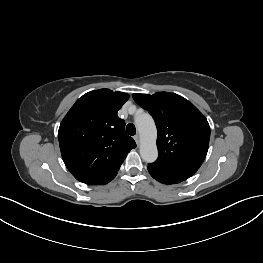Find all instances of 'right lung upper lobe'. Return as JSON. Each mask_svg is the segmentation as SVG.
<instances>
[{
  "label": "right lung upper lobe",
  "mask_w": 263,
  "mask_h": 263,
  "mask_svg": "<svg viewBox=\"0 0 263 263\" xmlns=\"http://www.w3.org/2000/svg\"><path fill=\"white\" fill-rule=\"evenodd\" d=\"M129 95L100 89L79 98L62 120L58 139L63 161L85 184H97L117 174L136 143L117 116Z\"/></svg>",
  "instance_id": "obj_1"
}]
</instances>
